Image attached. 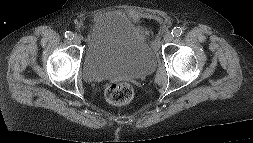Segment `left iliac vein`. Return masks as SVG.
I'll return each instance as SVG.
<instances>
[{
  "label": "left iliac vein",
  "mask_w": 253,
  "mask_h": 143,
  "mask_svg": "<svg viewBox=\"0 0 253 143\" xmlns=\"http://www.w3.org/2000/svg\"><path fill=\"white\" fill-rule=\"evenodd\" d=\"M172 40H173V35L171 33L165 34V36H164L165 42L170 43V42H172Z\"/></svg>",
  "instance_id": "4c4485c4"
}]
</instances>
